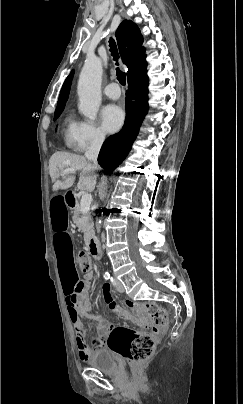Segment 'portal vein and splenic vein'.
I'll return each mask as SVG.
<instances>
[{
  "mask_svg": "<svg viewBox=\"0 0 243 404\" xmlns=\"http://www.w3.org/2000/svg\"><path fill=\"white\" fill-rule=\"evenodd\" d=\"M66 174H75V170H63L61 176H66ZM92 202L91 194H83L80 202L81 210L84 212V215H88L90 210V204Z\"/></svg>",
  "mask_w": 243,
  "mask_h": 404,
  "instance_id": "1",
  "label": "portal vein and splenic vein"
}]
</instances>
